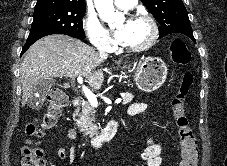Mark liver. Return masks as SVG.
Instances as JSON below:
<instances>
[{"instance_id": "obj_1", "label": "liver", "mask_w": 227, "mask_h": 166, "mask_svg": "<svg viewBox=\"0 0 227 166\" xmlns=\"http://www.w3.org/2000/svg\"><path fill=\"white\" fill-rule=\"evenodd\" d=\"M102 62L95 49L70 36L54 34L39 39L28 49L20 67L22 106L31 98L40 79L81 76L90 87L99 90L104 75L102 69L96 68Z\"/></svg>"}]
</instances>
